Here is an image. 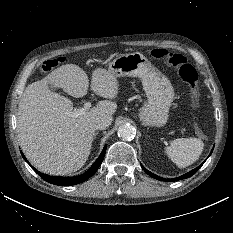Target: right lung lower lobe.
<instances>
[{
    "label": "right lung lower lobe",
    "instance_id": "right-lung-lower-lobe-1",
    "mask_svg": "<svg viewBox=\"0 0 233 233\" xmlns=\"http://www.w3.org/2000/svg\"><path fill=\"white\" fill-rule=\"evenodd\" d=\"M106 152V146L103 148L102 153L100 154V156L98 157V159L95 161V163L82 175L78 176V177H58V176H48L46 174H43L39 171H37L34 167L31 166V168L37 172L45 181L55 184V185H60V186H68V185H76L78 183H81L85 180H87L88 178H90L99 168V166L101 165L104 155ZM23 158L25 159V161L29 164V162L27 161V159L25 158V156L23 155V153L21 152ZM30 165V164H29Z\"/></svg>",
    "mask_w": 233,
    "mask_h": 233
}]
</instances>
